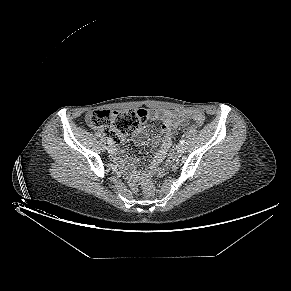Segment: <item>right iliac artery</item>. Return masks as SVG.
<instances>
[{
    "label": "right iliac artery",
    "instance_id": "1",
    "mask_svg": "<svg viewBox=\"0 0 291 291\" xmlns=\"http://www.w3.org/2000/svg\"><path fill=\"white\" fill-rule=\"evenodd\" d=\"M107 143H108L109 145H112V140H110V139L108 138Z\"/></svg>",
    "mask_w": 291,
    "mask_h": 291
}]
</instances>
